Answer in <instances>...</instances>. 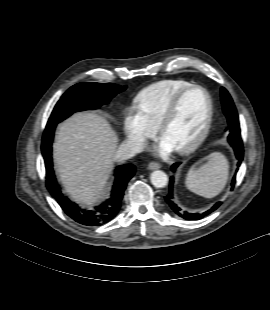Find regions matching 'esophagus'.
I'll return each mask as SVG.
<instances>
[{
	"mask_svg": "<svg viewBox=\"0 0 270 310\" xmlns=\"http://www.w3.org/2000/svg\"><path fill=\"white\" fill-rule=\"evenodd\" d=\"M160 168V164L157 163V162H150L148 164V169L149 170H156V169H159Z\"/></svg>",
	"mask_w": 270,
	"mask_h": 310,
	"instance_id": "obj_1",
	"label": "esophagus"
}]
</instances>
